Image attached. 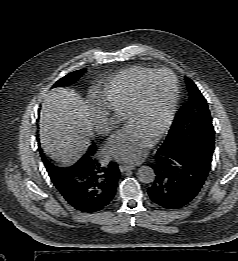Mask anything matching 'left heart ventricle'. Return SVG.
<instances>
[{"label":"left heart ventricle","instance_id":"left-heart-ventricle-1","mask_svg":"<svg viewBox=\"0 0 238 261\" xmlns=\"http://www.w3.org/2000/svg\"><path fill=\"white\" fill-rule=\"evenodd\" d=\"M173 93L170 75L161 74L147 84L141 108L126 117L128 125H135L153 136L163 123L169 110Z\"/></svg>","mask_w":238,"mask_h":261}]
</instances>
